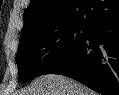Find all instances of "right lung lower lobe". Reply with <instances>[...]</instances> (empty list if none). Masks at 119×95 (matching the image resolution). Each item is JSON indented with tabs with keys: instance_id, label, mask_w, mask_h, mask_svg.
Instances as JSON below:
<instances>
[{
	"instance_id": "obj_1",
	"label": "right lung lower lobe",
	"mask_w": 119,
	"mask_h": 95,
	"mask_svg": "<svg viewBox=\"0 0 119 95\" xmlns=\"http://www.w3.org/2000/svg\"><path fill=\"white\" fill-rule=\"evenodd\" d=\"M44 74L73 78L103 95H119V16L92 27Z\"/></svg>"
}]
</instances>
